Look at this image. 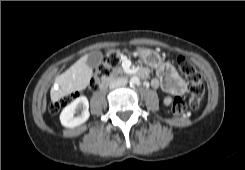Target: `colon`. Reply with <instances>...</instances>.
Returning <instances> with one entry per match:
<instances>
[{
    "label": "colon",
    "mask_w": 245,
    "mask_h": 170,
    "mask_svg": "<svg viewBox=\"0 0 245 170\" xmlns=\"http://www.w3.org/2000/svg\"><path fill=\"white\" fill-rule=\"evenodd\" d=\"M117 53L115 51H108L105 54L103 62L98 68L97 76L94 78L93 83L98 84L100 78L107 76L113 67L117 64ZM178 66L183 75H185L190 83V98L189 106L192 109L198 108L200 101L205 92V85L201 74L196 70L193 64L185 57L178 58ZM77 97V94H69L64 96L60 101L53 103L50 106V112L56 114L61 108L67 106ZM186 109L185 101L182 97L177 96L173 100L172 113L176 117H180Z\"/></svg>",
    "instance_id": "obj_1"
}]
</instances>
